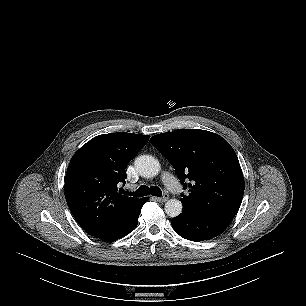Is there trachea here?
Listing matches in <instances>:
<instances>
[{
    "label": "trachea",
    "mask_w": 306,
    "mask_h": 306,
    "mask_svg": "<svg viewBox=\"0 0 306 306\" xmlns=\"http://www.w3.org/2000/svg\"><path fill=\"white\" fill-rule=\"evenodd\" d=\"M149 194H151L152 196L160 197L162 195V192L157 186H152L149 188L145 185H141L135 192L131 193V195L136 197H143Z\"/></svg>",
    "instance_id": "obj_1"
}]
</instances>
